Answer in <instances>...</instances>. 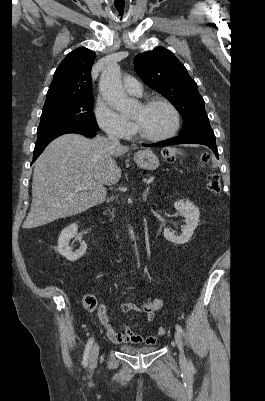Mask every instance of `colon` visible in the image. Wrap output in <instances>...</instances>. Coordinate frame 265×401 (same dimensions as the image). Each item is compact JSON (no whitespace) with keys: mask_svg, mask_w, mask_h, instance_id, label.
<instances>
[{"mask_svg":"<svg viewBox=\"0 0 265 401\" xmlns=\"http://www.w3.org/2000/svg\"><path fill=\"white\" fill-rule=\"evenodd\" d=\"M162 156L168 162H176V161H181V160L185 159L186 153L182 149L175 148V147H168L162 151ZM208 161H209V158L206 154H202L200 156V163L202 165H207ZM206 184H207V189L211 193L216 194V195L220 193L221 181H220L219 175L216 172L211 171L207 175ZM84 306L87 310L93 311L97 307L96 299L91 295L86 296L84 298ZM165 334H166V329L164 327H160L158 329V335L163 336Z\"/></svg>","mask_w":265,"mask_h":401,"instance_id":"1","label":"colon"}]
</instances>
